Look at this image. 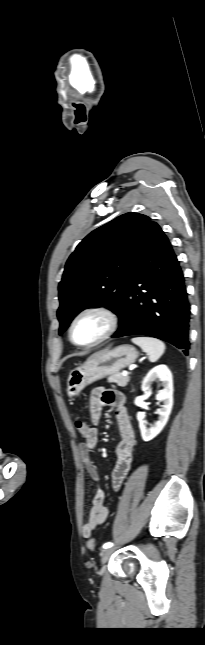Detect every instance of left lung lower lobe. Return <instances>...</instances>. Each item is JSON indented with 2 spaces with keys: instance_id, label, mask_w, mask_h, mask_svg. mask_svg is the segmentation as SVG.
<instances>
[{
  "instance_id": "1",
  "label": "left lung lower lobe",
  "mask_w": 205,
  "mask_h": 645,
  "mask_svg": "<svg viewBox=\"0 0 205 645\" xmlns=\"http://www.w3.org/2000/svg\"><path fill=\"white\" fill-rule=\"evenodd\" d=\"M189 320L190 304L179 261L160 226L151 221L131 264L120 328L112 337L147 335L188 355Z\"/></svg>"
}]
</instances>
